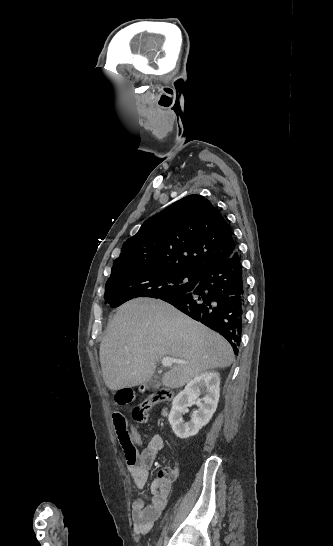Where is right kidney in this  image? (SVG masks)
Masks as SVG:
<instances>
[{"label": "right kidney", "mask_w": 333, "mask_h": 546, "mask_svg": "<svg viewBox=\"0 0 333 546\" xmlns=\"http://www.w3.org/2000/svg\"><path fill=\"white\" fill-rule=\"evenodd\" d=\"M219 385V373L206 371L192 379L177 394L169 414V423L177 437L186 439L194 436L210 421L219 401ZM201 390L205 392L202 399L204 404H201L199 409L193 412L191 419L185 422L183 415L188 412V407L196 402Z\"/></svg>", "instance_id": "obj_1"}]
</instances>
